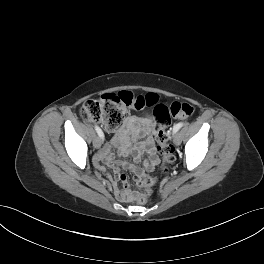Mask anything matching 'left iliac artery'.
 <instances>
[{"label": "left iliac artery", "instance_id": "44dca946", "mask_svg": "<svg viewBox=\"0 0 264 264\" xmlns=\"http://www.w3.org/2000/svg\"><path fill=\"white\" fill-rule=\"evenodd\" d=\"M184 125L183 122H180L173 127V133H176L182 126Z\"/></svg>", "mask_w": 264, "mask_h": 264}]
</instances>
